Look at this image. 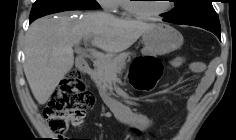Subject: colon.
I'll return each instance as SVG.
<instances>
[{
    "label": "colon",
    "instance_id": "5ec220e1",
    "mask_svg": "<svg viewBox=\"0 0 236 140\" xmlns=\"http://www.w3.org/2000/svg\"><path fill=\"white\" fill-rule=\"evenodd\" d=\"M162 70L161 62L154 58H137L130 70V83L137 90L151 91L161 77ZM95 100L79 72L70 71L44 109L50 130L57 135H64L70 124L79 126L85 112L94 106Z\"/></svg>",
    "mask_w": 236,
    "mask_h": 140
}]
</instances>
